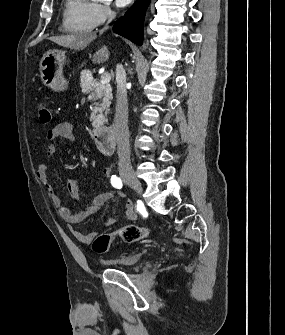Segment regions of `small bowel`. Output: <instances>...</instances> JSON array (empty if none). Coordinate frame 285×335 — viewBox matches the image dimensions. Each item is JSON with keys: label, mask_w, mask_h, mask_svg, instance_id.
I'll return each mask as SVG.
<instances>
[{"label": "small bowel", "mask_w": 285, "mask_h": 335, "mask_svg": "<svg viewBox=\"0 0 285 335\" xmlns=\"http://www.w3.org/2000/svg\"><path fill=\"white\" fill-rule=\"evenodd\" d=\"M46 138L48 140V144L45 148V154L47 157H52L57 150V147L54 143L55 140L59 138H63L71 142L75 140L73 127L67 121L60 122L48 131ZM103 174L107 179L112 177L111 170L109 168H104ZM37 177L49 193L51 201L57 208L59 216L70 225V230L75 238L83 244H90L95 237V233L83 234L80 231L76 230L74 228V225L83 222L88 216L96 214L99 211V207L112 200L117 193L113 190L101 193L94 197L91 204L86 206L84 210L80 212H72L71 209L63 205L61 197L51 183L49 179V166L47 164L44 163L38 167ZM67 188L70 193L78 194V188L75 182H68ZM120 196L123 197L124 195L120 194ZM124 214L126 219L128 220H135L137 218V212L134 208V205L129 200L126 201L124 204ZM113 223V218H106L103 222V226L107 227L112 225Z\"/></svg>", "instance_id": "1"}]
</instances>
